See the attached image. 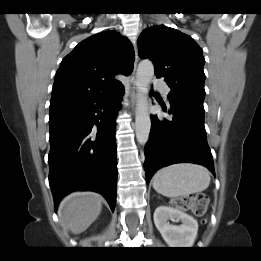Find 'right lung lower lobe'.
<instances>
[{
	"label": "right lung lower lobe",
	"instance_id": "right-lung-lower-lobe-1",
	"mask_svg": "<svg viewBox=\"0 0 261 261\" xmlns=\"http://www.w3.org/2000/svg\"><path fill=\"white\" fill-rule=\"evenodd\" d=\"M124 93L119 89L51 106L49 184L55 206L73 190L102 194L114 211L115 128Z\"/></svg>",
	"mask_w": 261,
	"mask_h": 261
}]
</instances>
